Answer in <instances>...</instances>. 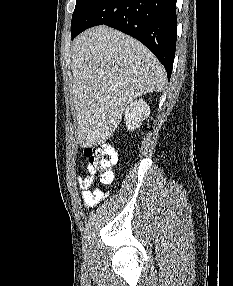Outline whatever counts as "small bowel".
Listing matches in <instances>:
<instances>
[{
    "mask_svg": "<svg viewBox=\"0 0 233 286\" xmlns=\"http://www.w3.org/2000/svg\"><path fill=\"white\" fill-rule=\"evenodd\" d=\"M87 170L91 173L89 166H87ZM77 183L81 189V198L86 207H93L103 199L104 195L101 191L91 190V177H82L78 175Z\"/></svg>",
    "mask_w": 233,
    "mask_h": 286,
    "instance_id": "obj_1",
    "label": "small bowel"
}]
</instances>
